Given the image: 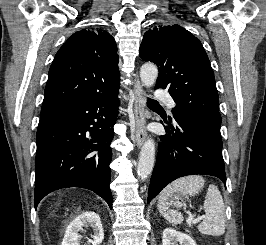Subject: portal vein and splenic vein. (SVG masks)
<instances>
[{
    "label": "portal vein and splenic vein",
    "instance_id": "portal-vein-and-splenic-vein-1",
    "mask_svg": "<svg viewBox=\"0 0 266 245\" xmlns=\"http://www.w3.org/2000/svg\"><path fill=\"white\" fill-rule=\"evenodd\" d=\"M201 219H205V217H197V219H194V221H193V217H192V215H190L187 223H188V225H191V223H199V221H201Z\"/></svg>",
    "mask_w": 266,
    "mask_h": 245
}]
</instances>
